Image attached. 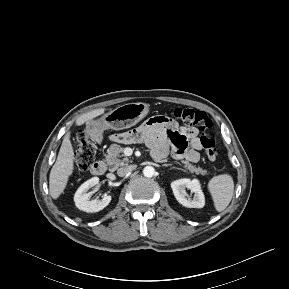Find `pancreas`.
<instances>
[{
  "label": "pancreas",
  "instance_id": "cf45deb5",
  "mask_svg": "<svg viewBox=\"0 0 289 289\" xmlns=\"http://www.w3.org/2000/svg\"><path fill=\"white\" fill-rule=\"evenodd\" d=\"M124 147L118 144H112L108 150L106 157V163L112 167L113 170L117 169L119 166L128 165L131 160L126 157L124 154ZM120 157H123L120 159ZM184 168L191 173L206 175L207 171L202 169L201 167H196L193 164L189 163L186 160H183Z\"/></svg>",
  "mask_w": 289,
  "mask_h": 289
}]
</instances>
